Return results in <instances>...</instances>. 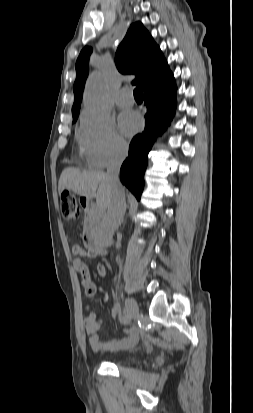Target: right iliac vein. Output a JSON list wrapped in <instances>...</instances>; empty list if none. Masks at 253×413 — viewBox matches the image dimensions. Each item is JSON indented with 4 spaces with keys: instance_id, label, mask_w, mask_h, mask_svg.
Listing matches in <instances>:
<instances>
[{
    "instance_id": "obj_1",
    "label": "right iliac vein",
    "mask_w": 253,
    "mask_h": 413,
    "mask_svg": "<svg viewBox=\"0 0 253 413\" xmlns=\"http://www.w3.org/2000/svg\"><path fill=\"white\" fill-rule=\"evenodd\" d=\"M125 308L130 318L136 319L139 316V308L136 301L133 298H125Z\"/></svg>"
}]
</instances>
